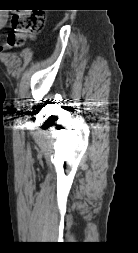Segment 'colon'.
Instances as JSON below:
<instances>
[{
	"label": "colon",
	"instance_id": "5ec220e1",
	"mask_svg": "<svg viewBox=\"0 0 138 253\" xmlns=\"http://www.w3.org/2000/svg\"><path fill=\"white\" fill-rule=\"evenodd\" d=\"M11 32L8 35L9 46H19L26 37L40 32L45 24V16L42 12L20 11L11 16Z\"/></svg>",
	"mask_w": 138,
	"mask_h": 253
}]
</instances>
